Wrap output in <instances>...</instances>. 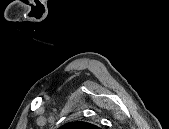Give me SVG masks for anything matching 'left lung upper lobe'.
Listing matches in <instances>:
<instances>
[{
  "mask_svg": "<svg viewBox=\"0 0 169 129\" xmlns=\"http://www.w3.org/2000/svg\"><path fill=\"white\" fill-rule=\"evenodd\" d=\"M61 128L62 129H96L97 126L87 122L77 121V122H70L64 124Z\"/></svg>",
  "mask_w": 169,
  "mask_h": 129,
  "instance_id": "5c2ea615",
  "label": "left lung upper lobe"
}]
</instances>
